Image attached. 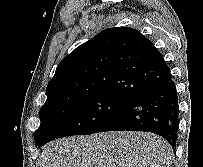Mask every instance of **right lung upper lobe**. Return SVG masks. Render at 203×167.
Instances as JSON below:
<instances>
[{
    "instance_id": "obj_1",
    "label": "right lung upper lobe",
    "mask_w": 203,
    "mask_h": 167,
    "mask_svg": "<svg viewBox=\"0 0 203 167\" xmlns=\"http://www.w3.org/2000/svg\"><path fill=\"white\" fill-rule=\"evenodd\" d=\"M170 75L162 54L139 31L129 27L108 28L59 63L40 110L94 94L131 101Z\"/></svg>"
}]
</instances>
